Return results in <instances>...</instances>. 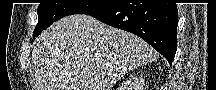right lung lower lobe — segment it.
Listing matches in <instances>:
<instances>
[{"label":"right lung lower lobe","instance_id":"obj_1","mask_svg":"<svg viewBox=\"0 0 216 90\" xmlns=\"http://www.w3.org/2000/svg\"><path fill=\"white\" fill-rule=\"evenodd\" d=\"M87 15L141 37L172 65L177 50L178 11L175 3L108 4Z\"/></svg>","mask_w":216,"mask_h":90}]
</instances>
